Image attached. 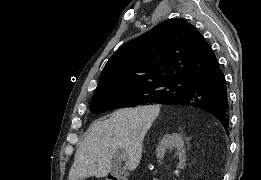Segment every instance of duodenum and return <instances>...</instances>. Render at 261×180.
I'll list each match as a JSON object with an SVG mask.
<instances>
[{
  "label": "duodenum",
  "instance_id": "410a0bca",
  "mask_svg": "<svg viewBox=\"0 0 261 180\" xmlns=\"http://www.w3.org/2000/svg\"><path fill=\"white\" fill-rule=\"evenodd\" d=\"M108 180H128V177H119L118 173H109Z\"/></svg>",
  "mask_w": 261,
  "mask_h": 180
}]
</instances>
